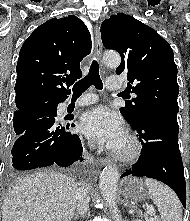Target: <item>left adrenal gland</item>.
<instances>
[{"instance_id": "left-adrenal-gland-1", "label": "left adrenal gland", "mask_w": 190, "mask_h": 221, "mask_svg": "<svg viewBox=\"0 0 190 221\" xmlns=\"http://www.w3.org/2000/svg\"><path fill=\"white\" fill-rule=\"evenodd\" d=\"M124 206H127V207H129V208H132V206L130 205V203H129V201H128V199H127V197H124Z\"/></svg>"}]
</instances>
